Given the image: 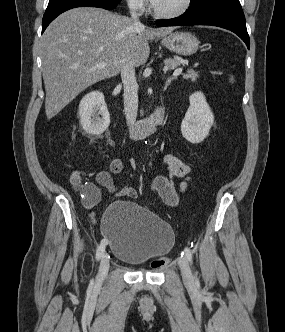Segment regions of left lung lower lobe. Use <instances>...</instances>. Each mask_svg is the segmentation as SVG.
Returning <instances> with one entry per match:
<instances>
[{
	"mask_svg": "<svg viewBox=\"0 0 285 332\" xmlns=\"http://www.w3.org/2000/svg\"><path fill=\"white\" fill-rule=\"evenodd\" d=\"M157 26L176 25H212L231 30L250 47L245 16L238 0L223 1L207 5L200 9L187 11L173 20H159Z\"/></svg>",
	"mask_w": 285,
	"mask_h": 332,
	"instance_id": "left-lung-lower-lobe-1",
	"label": "left lung lower lobe"
}]
</instances>
